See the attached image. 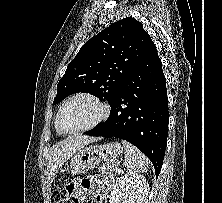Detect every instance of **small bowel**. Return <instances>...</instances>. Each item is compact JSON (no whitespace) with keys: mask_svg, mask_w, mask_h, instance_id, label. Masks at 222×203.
I'll use <instances>...</instances> for the list:
<instances>
[{"mask_svg":"<svg viewBox=\"0 0 222 203\" xmlns=\"http://www.w3.org/2000/svg\"><path fill=\"white\" fill-rule=\"evenodd\" d=\"M74 184V203H83L86 195H93L97 203H104L109 189L107 184H102L97 178L89 177Z\"/></svg>","mask_w":222,"mask_h":203,"instance_id":"obj_1","label":"small bowel"}]
</instances>
